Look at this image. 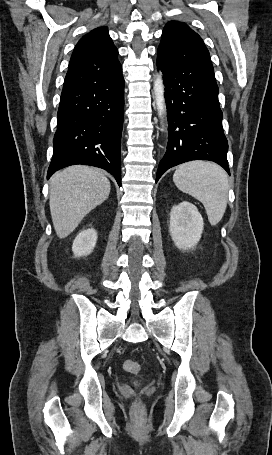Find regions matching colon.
<instances>
[{"label":"colon","instance_id":"obj_1","mask_svg":"<svg viewBox=\"0 0 272 455\" xmlns=\"http://www.w3.org/2000/svg\"><path fill=\"white\" fill-rule=\"evenodd\" d=\"M123 368L129 372V373H132V374H137L139 371H140V365L138 362L136 361H133V360H126L124 363H123ZM140 410V406L139 404L137 403L135 405V411L138 412Z\"/></svg>","mask_w":272,"mask_h":455}]
</instances>
